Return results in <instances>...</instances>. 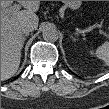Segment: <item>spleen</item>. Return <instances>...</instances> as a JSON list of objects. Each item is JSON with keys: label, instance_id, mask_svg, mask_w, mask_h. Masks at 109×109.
<instances>
[{"label": "spleen", "instance_id": "obj_1", "mask_svg": "<svg viewBox=\"0 0 109 109\" xmlns=\"http://www.w3.org/2000/svg\"><path fill=\"white\" fill-rule=\"evenodd\" d=\"M90 55L96 56L97 58L103 60L105 64L109 61V42H105L100 47H98L94 53V51L89 52Z\"/></svg>", "mask_w": 109, "mask_h": 109}]
</instances>
